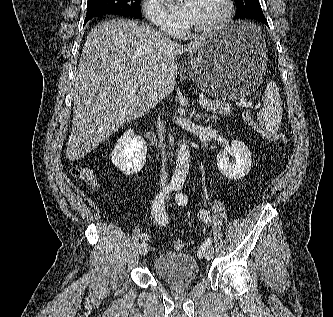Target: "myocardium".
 <instances>
[{
	"instance_id": "1",
	"label": "myocardium",
	"mask_w": 333,
	"mask_h": 317,
	"mask_svg": "<svg viewBox=\"0 0 333 317\" xmlns=\"http://www.w3.org/2000/svg\"><path fill=\"white\" fill-rule=\"evenodd\" d=\"M222 10L219 16L210 24L203 27L189 26V31L194 34L206 35L220 29L231 17L233 11L232 0H221Z\"/></svg>"
}]
</instances>
